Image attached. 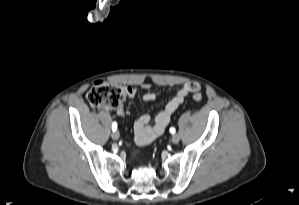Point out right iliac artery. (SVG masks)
I'll list each match as a JSON object with an SVG mask.
<instances>
[{
    "mask_svg": "<svg viewBox=\"0 0 299 205\" xmlns=\"http://www.w3.org/2000/svg\"><path fill=\"white\" fill-rule=\"evenodd\" d=\"M116 129H117V123H116V122H113V124H112V130H113V131H116Z\"/></svg>",
    "mask_w": 299,
    "mask_h": 205,
    "instance_id": "1",
    "label": "right iliac artery"
}]
</instances>
